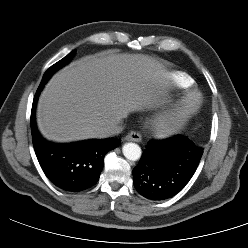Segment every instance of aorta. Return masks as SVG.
I'll return each instance as SVG.
<instances>
[{"instance_id": "obj_1", "label": "aorta", "mask_w": 248, "mask_h": 248, "mask_svg": "<svg viewBox=\"0 0 248 248\" xmlns=\"http://www.w3.org/2000/svg\"><path fill=\"white\" fill-rule=\"evenodd\" d=\"M123 155L131 161H137L141 157V148L136 143H126L122 148Z\"/></svg>"}]
</instances>
